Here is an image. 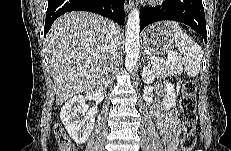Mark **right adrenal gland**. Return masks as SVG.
<instances>
[{
  "mask_svg": "<svg viewBox=\"0 0 231 151\" xmlns=\"http://www.w3.org/2000/svg\"><path fill=\"white\" fill-rule=\"evenodd\" d=\"M109 71H110V68H107V70H106V74H107Z\"/></svg>",
  "mask_w": 231,
  "mask_h": 151,
  "instance_id": "1",
  "label": "right adrenal gland"
}]
</instances>
